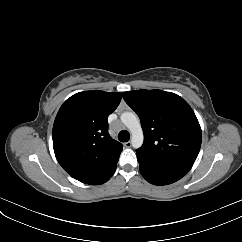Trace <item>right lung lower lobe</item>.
Here are the masks:
<instances>
[{
	"instance_id": "obj_1",
	"label": "right lung lower lobe",
	"mask_w": 242,
	"mask_h": 242,
	"mask_svg": "<svg viewBox=\"0 0 242 242\" xmlns=\"http://www.w3.org/2000/svg\"><path fill=\"white\" fill-rule=\"evenodd\" d=\"M118 159L119 157L115 158L113 161H111L105 167H103L100 171H98L92 178L83 183L99 185L108 181L116 170Z\"/></svg>"
}]
</instances>
